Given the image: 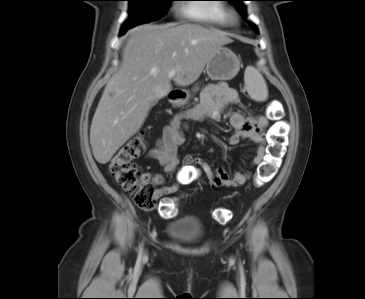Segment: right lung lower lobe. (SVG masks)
I'll list each match as a JSON object with an SVG mask.
<instances>
[{
	"mask_svg": "<svg viewBox=\"0 0 365 299\" xmlns=\"http://www.w3.org/2000/svg\"><path fill=\"white\" fill-rule=\"evenodd\" d=\"M129 28H123L122 29V32H121V35H123Z\"/></svg>",
	"mask_w": 365,
	"mask_h": 299,
	"instance_id": "98d812e1",
	"label": "right lung lower lobe"
}]
</instances>
